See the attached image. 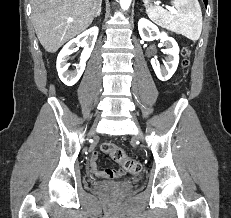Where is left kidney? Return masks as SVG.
Returning <instances> with one entry per match:
<instances>
[{"label":"left kidney","instance_id":"1","mask_svg":"<svg viewBox=\"0 0 231 218\" xmlns=\"http://www.w3.org/2000/svg\"><path fill=\"white\" fill-rule=\"evenodd\" d=\"M138 30L141 38L145 41H151L155 38L160 39L163 46L166 47L165 52L168 55L161 67L156 59H151V65L158 79L165 81L172 77L179 64V47L177 42L167 35L160 32L158 27L145 18H141L138 22Z\"/></svg>","mask_w":231,"mask_h":218}]
</instances>
